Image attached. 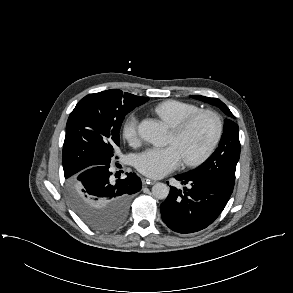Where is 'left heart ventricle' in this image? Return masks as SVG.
Instances as JSON below:
<instances>
[{
	"label": "left heart ventricle",
	"mask_w": 293,
	"mask_h": 293,
	"mask_svg": "<svg viewBox=\"0 0 293 293\" xmlns=\"http://www.w3.org/2000/svg\"><path fill=\"white\" fill-rule=\"evenodd\" d=\"M214 132V123L208 117H202L196 121L181 137H176L170 132L169 144H174L182 157L199 153L210 141Z\"/></svg>",
	"instance_id": "obj_1"
}]
</instances>
